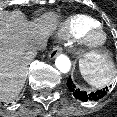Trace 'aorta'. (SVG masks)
Segmentation results:
<instances>
[{"label": "aorta", "instance_id": "1", "mask_svg": "<svg viewBox=\"0 0 117 117\" xmlns=\"http://www.w3.org/2000/svg\"><path fill=\"white\" fill-rule=\"evenodd\" d=\"M55 65L62 73H67L71 68L70 59L66 55H59L55 60Z\"/></svg>", "mask_w": 117, "mask_h": 117}]
</instances>
